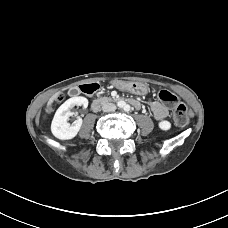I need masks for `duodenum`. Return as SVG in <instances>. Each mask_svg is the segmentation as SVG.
I'll return each mask as SVG.
<instances>
[{
	"label": "duodenum",
	"instance_id": "duodenum-1",
	"mask_svg": "<svg viewBox=\"0 0 228 228\" xmlns=\"http://www.w3.org/2000/svg\"><path fill=\"white\" fill-rule=\"evenodd\" d=\"M98 87H94L93 84H86L84 85L83 92L88 94V95H93L97 91ZM119 99L113 98V99H99L96 98L92 102V108L97 110L103 102L106 101H116Z\"/></svg>",
	"mask_w": 228,
	"mask_h": 228
}]
</instances>
